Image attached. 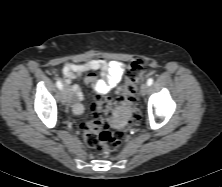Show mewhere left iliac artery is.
<instances>
[{"instance_id":"1","label":"left iliac artery","mask_w":222,"mask_h":187,"mask_svg":"<svg viewBox=\"0 0 222 187\" xmlns=\"http://www.w3.org/2000/svg\"><path fill=\"white\" fill-rule=\"evenodd\" d=\"M147 84H148L149 86H151V85L153 84V79H152V78H149V79L147 80Z\"/></svg>"}]
</instances>
